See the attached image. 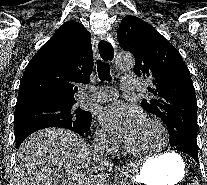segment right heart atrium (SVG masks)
<instances>
[{
    "instance_id": "obj_1",
    "label": "right heart atrium",
    "mask_w": 207,
    "mask_h": 185,
    "mask_svg": "<svg viewBox=\"0 0 207 185\" xmlns=\"http://www.w3.org/2000/svg\"><path fill=\"white\" fill-rule=\"evenodd\" d=\"M94 140L103 147L111 148L116 144V138L107 130L99 128L95 132Z\"/></svg>"
}]
</instances>
